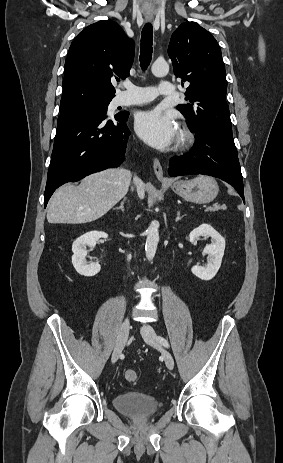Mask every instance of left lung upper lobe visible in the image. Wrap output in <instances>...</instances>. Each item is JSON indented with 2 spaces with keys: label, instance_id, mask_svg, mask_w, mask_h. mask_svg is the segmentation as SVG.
<instances>
[{
  "label": "left lung upper lobe",
  "instance_id": "1",
  "mask_svg": "<svg viewBox=\"0 0 283 463\" xmlns=\"http://www.w3.org/2000/svg\"><path fill=\"white\" fill-rule=\"evenodd\" d=\"M168 55L175 75L190 83L185 99L191 104L177 107L188 119V128L233 139L225 66L215 38L195 22L183 23L172 34Z\"/></svg>",
  "mask_w": 283,
  "mask_h": 463
}]
</instances>
